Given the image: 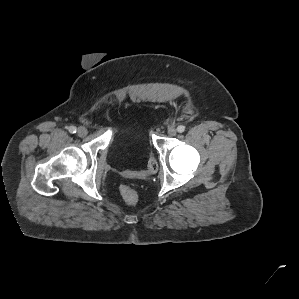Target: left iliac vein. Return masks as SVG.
<instances>
[{
	"mask_svg": "<svg viewBox=\"0 0 299 299\" xmlns=\"http://www.w3.org/2000/svg\"><path fill=\"white\" fill-rule=\"evenodd\" d=\"M177 134V130L174 127L168 128V135L175 136Z\"/></svg>",
	"mask_w": 299,
	"mask_h": 299,
	"instance_id": "left-iliac-vein-1",
	"label": "left iliac vein"
}]
</instances>
